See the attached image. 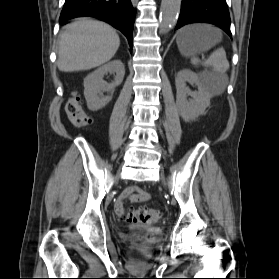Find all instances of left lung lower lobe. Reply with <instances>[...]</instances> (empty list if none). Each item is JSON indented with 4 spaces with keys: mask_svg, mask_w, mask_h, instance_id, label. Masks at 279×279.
Listing matches in <instances>:
<instances>
[{
    "mask_svg": "<svg viewBox=\"0 0 279 279\" xmlns=\"http://www.w3.org/2000/svg\"><path fill=\"white\" fill-rule=\"evenodd\" d=\"M196 22L215 24L232 37L226 0H182L176 29Z\"/></svg>",
    "mask_w": 279,
    "mask_h": 279,
    "instance_id": "1",
    "label": "left lung lower lobe"
}]
</instances>
